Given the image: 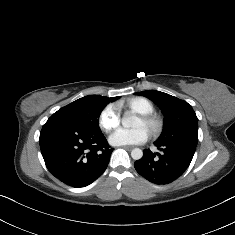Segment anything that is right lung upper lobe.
Wrapping results in <instances>:
<instances>
[{
    "mask_svg": "<svg viewBox=\"0 0 235 235\" xmlns=\"http://www.w3.org/2000/svg\"><path fill=\"white\" fill-rule=\"evenodd\" d=\"M115 97H103L100 95H89V96H85L83 97V99L85 101H87V103L89 104L90 107L92 108H101V107H105L110 101H114Z\"/></svg>",
    "mask_w": 235,
    "mask_h": 235,
    "instance_id": "cb5924a9",
    "label": "right lung upper lobe"
}]
</instances>
